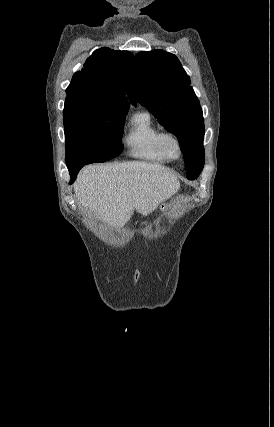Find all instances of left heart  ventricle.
Masks as SVG:
<instances>
[{
  "label": "left heart ventricle",
  "instance_id": "1",
  "mask_svg": "<svg viewBox=\"0 0 274 427\" xmlns=\"http://www.w3.org/2000/svg\"><path fill=\"white\" fill-rule=\"evenodd\" d=\"M166 147H167V150L170 153V155H172L174 157L178 156L179 150H178L176 143L173 140L168 139L166 142Z\"/></svg>",
  "mask_w": 274,
  "mask_h": 427
}]
</instances>
